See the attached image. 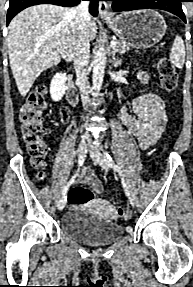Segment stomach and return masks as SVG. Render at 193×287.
<instances>
[{
	"instance_id": "0dacf381",
	"label": "stomach",
	"mask_w": 193,
	"mask_h": 287,
	"mask_svg": "<svg viewBox=\"0 0 193 287\" xmlns=\"http://www.w3.org/2000/svg\"><path fill=\"white\" fill-rule=\"evenodd\" d=\"M106 23L120 39L136 49L155 45L167 28L162 15L151 9L125 12Z\"/></svg>"
}]
</instances>
